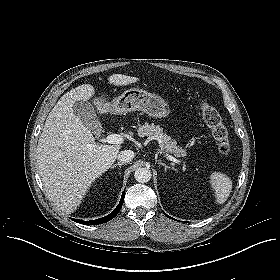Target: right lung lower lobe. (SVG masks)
<instances>
[{
  "label": "right lung lower lobe",
  "instance_id": "1",
  "mask_svg": "<svg viewBox=\"0 0 280 280\" xmlns=\"http://www.w3.org/2000/svg\"><path fill=\"white\" fill-rule=\"evenodd\" d=\"M124 197H125V191L122 193L121 199L119 204L117 205V207L114 209L113 212H111L109 215L100 218V219H96V220H90V221H83V220H79V219H73L75 222L81 223V224H86V225H98V224H102L105 222L110 221L111 219H113L118 212L120 211L122 204L124 202Z\"/></svg>",
  "mask_w": 280,
  "mask_h": 280
}]
</instances>
